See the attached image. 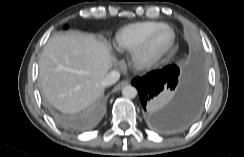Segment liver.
Returning <instances> with one entry per match:
<instances>
[{
	"instance_id": "obj_1",
	"label": "liver",
	"mask_w": 244,
	"mask_h": 157,
	"mask_svg": "<svg viewBox=\"0 0 244 157\" xmlns=\"http://www.w3.org/2000/svg\"><path fill=\"white\" fill-rule=\"evenodd\" d=\"M113 61L109 45L93 35H56L48 40L39 59L42 91L59 111L77 113L103 95L102 82Z\"/></svg>"
}]
</instances>
